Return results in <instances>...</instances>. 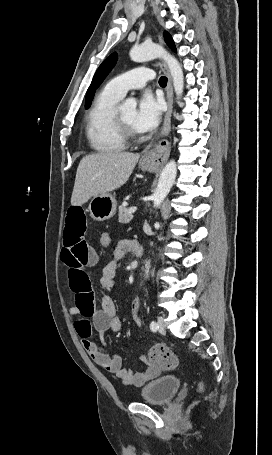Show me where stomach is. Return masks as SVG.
<instances>
[{
    "label": "stomach",
    "mask_w": 272,
    "mask_h": 455,
    "mask_svg": "<svg viewBox=\"0 0 272 455\" xmlns=\"http://www.w3.org/2000/svg\"><path fill=\"white\" fill-rule=\"evenodd\" d=\"M139 167L142 170L153 172L156 170L157 165L154 160L140 159ZM117 202L115 197L110 194L98 195L92 198L90 201L88 210L90 216L95 221H105L114 216L116 212Z\"/></svg>",
    "instance_id": "1"
}]
</instances>
